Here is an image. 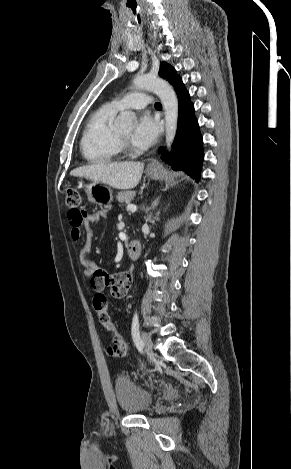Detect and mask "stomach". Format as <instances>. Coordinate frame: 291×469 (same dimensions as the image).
Masks as SVG:
<instances>
[{
    "mask_svg": "<svg viewBox=\"0 0 291 469\" xmlns=\"http://www.w3.org/2000/svg\"><path fill=\"white\" fill-rule=\"evenodd\" d=\"M160 169H147V175L152 179H157L160 176ZM86 194L90 203L105 206L109 205L113 200V194L110 187L102 184L99 181H93L86 185Z\"/></svg>",
    "mask_w": 291,
    "mask_h": 469,
    "instance_id": "obj_1",
    "label": "stomach"
}]
</instances>
